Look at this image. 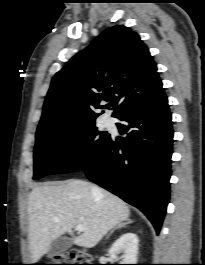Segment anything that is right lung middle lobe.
<instances>
[{"instance_id":"right-lung-middle-lobe-1","label":"right lung middle lobe","mask_w":205,"mask_h":265,"mask_svg":"<svg viewBox=\"0 0 205 265\" xmlns=\"http://www.w3.org/2000/svg\"><path fill=\"white\" fill-rule=\"evenodd\" d=\"M109 139V134L95 126V120L37 131L33 179L84 169Z\"/></svg>"}]
</instances>
